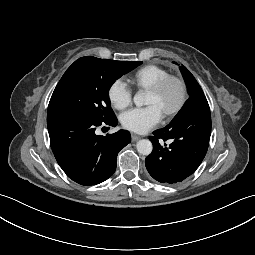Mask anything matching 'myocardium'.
Returning a JSON list of instances; mask_svg holds the SVG:
<instances>
[{
  "label": "myocardium",
  "mask_w": 255,
  "mask_h": 255,
  "mask_svg": "<svg viewBox=\"0 0 255 255\" xmlns=\"http://www.w3.org/2000/svg\"><path fill=\"white\" fill-rule=\"evenodd\" d=\"M172 82L176 83L179 86L180 96H179L177 103L172 108H170L164 112V115L167 117L174 116L184 106V104L187 100V96H188V90H187V85H186L185 81L181 77H178L175 75H169V76L161 79L160 81H158L156 84H154L150 88H148V91H150V92L160 93Z\"/></svg>",
  "instance_id": "obj_1"
}]
</instances>
